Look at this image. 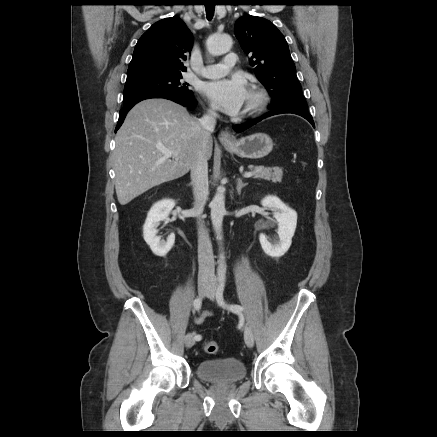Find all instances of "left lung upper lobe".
Here are the masks:
<instances>
[{
  "mask_svg": "<svg viewBox=\"0 0 437 437\" xmlns=\"http://www.w3.org/2000/svg\"><path fill=\"white\" fill-rule=\"evenodd\" d=\"M235 35L251 56L249 63L272 97L270 109L295 107L308 110L296 68L283 34L269 20L246 15L235 24Z\"/></svg>",
  "mask_w": 437,
  "mask_h": 437,
  "instance_id": "obj_1",
  "label": "left lung upper lobe"
}]
</instances>
